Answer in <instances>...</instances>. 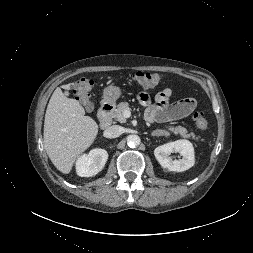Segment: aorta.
I'll use <instances>...</instances> for the list:
<instances>
[{
    "instance_id": "aorta-1",
    "label": "aorta",
    "mask_w": 253,
    "mask_h": 253,
    "mask_svg": "<svg viewBox=\"0 0 253 253\" xmlns=\"http://www.w3.org/2000/svg\"><path fill=\"white\" fill-rule=\"evenodd\" d=\"M140 142H141V139L138 135H129L127 137V144L131 148L138 146Z\"/></svg>"
}]
</instances>
